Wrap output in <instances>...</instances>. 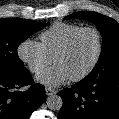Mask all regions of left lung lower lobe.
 <instances>
[{"mask_svg": "<svg viewBox=\"0 0 119 119\" xmlns=\"http://www.w3.org/2000/svg\"><path fill=\"white\" fill-rule=\"evenodd\" d=\"M59 95V119H119V74L85 77Z\"/></svg>", "mask_w": 119, "mask_h": 119, "instance_id": "0a47b994", "label": "left lung lower lobe"}]
</instances>
